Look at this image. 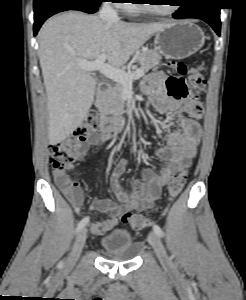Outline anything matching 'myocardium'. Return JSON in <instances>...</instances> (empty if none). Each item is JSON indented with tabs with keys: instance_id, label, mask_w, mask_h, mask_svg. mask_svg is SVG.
Masks as SVG:
<instances>
[{
	"instance_id": "f54148a6",
	"label": "myocardium",
	"mask_w": 246,
	"mask_h": 300,
	"mask_svg": "<svg viewBox=\"0 0 246 300\" xmlns=\"http://www.w3.org/2000/svg\"><path fill=\"white\" fill-rule=\"evenodd\" d=\"M138 7L144 13L154 15V16H160V17L173 16V15L176 14V12L179 9V6L176 5V4L173 5V7L169 11H166V12L156 11V10L152 9L151 6L148 3H144L142 5H139Z\"/></svg>"
}]
</instances>
